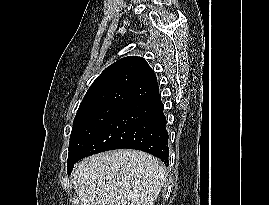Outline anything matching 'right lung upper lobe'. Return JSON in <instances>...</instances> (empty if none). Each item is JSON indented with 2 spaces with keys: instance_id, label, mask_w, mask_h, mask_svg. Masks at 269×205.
Segmentation results:
<instances>
[{
  "instance_id": "right-lung-upper-lobe-1",
  "label": "right lung upper lobe",
  "mask_w": 269,
  "mask_h": 205,
  "mask_svg": "<svg viewBox=\"0 0 269 205\" xmlns=\"http://www.w3.org/2000/svg\"><path fill=\"white\" fill-rule=\"evenodd\" d=\"M159 94L157 78L146 60L122 58L93 82L80 107L113 104L129 107Z\"/></svg>"
}]
</instances>
